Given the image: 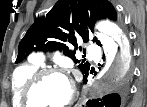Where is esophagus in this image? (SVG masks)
<instances>
[{
    "label": "esophagus",
    "instance_id": "34e87169",
    "mask_svg": "<svg viewBox=\"0 0 147 107\" xmlns=\"http://www.w3.org/2000/svg\"><path fill=\"white\" fill-rule=\"evenodd\" d=\"M86 101V90H83L82 96L78 102V105L80 106L82 103Z\"/></svg>",
    "mask_w": 147,
    "mask_h": 107
}]
</instances>
